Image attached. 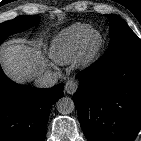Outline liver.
<instances>
[{
  "label": "liver",
  "instance_id": "obj_1",
  "mask_svg": "<svg viewBox=\"0 0 141 141\" xmlns=\"http://www.w3.org/2000/svg\"><path fill=\"white\" fill-rule=\"evenodd\" d=\"M1 63L6 75L13 81L24 84L40 77L46 71V63L40 46L15 40L4 45Z\"/></svg>",
  "mask_w": 141,
  "mask_h": 141
}]
</instances>
